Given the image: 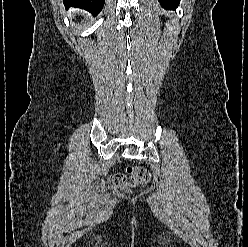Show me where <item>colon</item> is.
Instances as JSON below:
<instances>
[{
  "label": "colon",
  "mask_w": 248,
  "mask_h": 247,
  "mask_svg": "<svg viewBox=\"0 0 248 247\" xmlns=\"http://www.w3.org/2000/svg\"><path fill=\"white\" fill-rule=\"evenodd\" d=\"M150 179L148 170L143 166H129L125 173L116 174L113 184L116 188L129 191L146 184Z\"/></svg>",
  "instance_id": "5ec220e1"
}]
</instances>
